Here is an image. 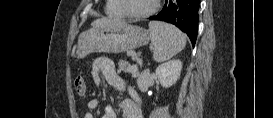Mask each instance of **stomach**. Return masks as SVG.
Segmentation results:
<instances>
[{
  "mask_svg": "<svg viewBox=\"0 0 273 118\" xmlns=\"http://www.w3.org/2000/svg\"><path fill=\"white\" fill-rule=\"evenodd\" d=\"M150 36L147 30L123 21L92 27L78 38L77 57L90 53H122L129 49L147 45Z\"/></svg>",
  "mask_w": 273,
  "mask_h": 118,
  "instance_id": "stomach-1",
  "label": "stomach"
}]
</instances>
